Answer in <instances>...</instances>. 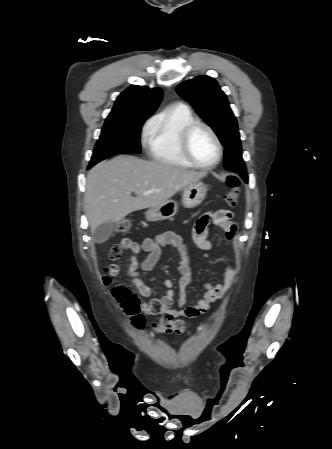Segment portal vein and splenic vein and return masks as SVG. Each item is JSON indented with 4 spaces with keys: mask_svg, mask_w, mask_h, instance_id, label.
<instances>
[{
    "mask_svg": "<svg viewBox=\"0 0 332 449\" xmlns=\"http://www.w3.org/2000/svg\"><path fill=\"white\" fill-rule=\"evenodd\" d=\"M150 193H152V190L151 191H145L143 194L148 195Z\"/></svg>",
    "mask_w": 332,
    "mask_h": 449,
    "instance_id": "portal-vein-and-splenic-vein-1",
    "label": "portal vein and splenic vein"
}]
</instances>
